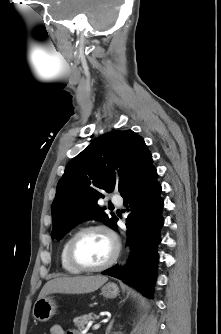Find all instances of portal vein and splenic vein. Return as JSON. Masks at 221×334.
Segmentation results:
<instances>
[{"label":"portal vein and splenic vein","instance_id":"obj_1","mask_svg":"<svg viewBox=\"0 0 221 334\" xmlns=\"http://www.w3.org/2000/svg\"><path fill=\"white\" fill-rule=\"evenodd\" d=\"M100 328V324H95L94 326H93V330H97V329H99Z\"/></svg>","mask_w":221,"mask_h":334}]
</instances>
